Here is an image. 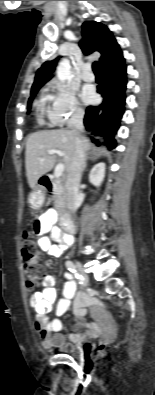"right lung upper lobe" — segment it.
Listing matches in <instances>:
<instances>
[{"label": "right lung upper lobe", "mask_w": 155, "mask_h": 395, "mask_svg": "<svg viewBox=\"0 0 155 395\" xmlns=\"http://www.w3.org/2000/svg\"><path fill=\"white\" fill-rule=\"evenodd\" d=\"M83 40L80 42V48L83 53L88 55L95 51L101 53L99 58L100 68L109 66L115 62L124 60L122 51L112 32L103 24L95 21H86L82 24ZM60 56L46 61L40 69H38L35 81L31 88V95L37 93L50 78V74L55 70Z\"/></svg>", "instance_id": "obj_1"}]
</instances>
